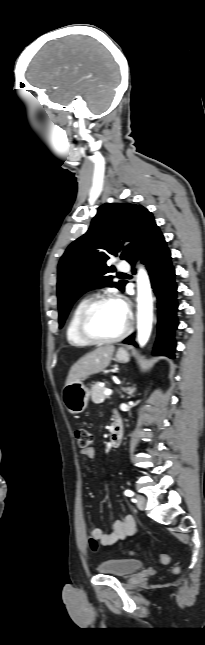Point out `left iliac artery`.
<instances>
[{
  "instance_id": "1",
  "label": "left iliac artery",
  "mask_w": 205,
  "mask_h": 645,
  "mask_svg": "<svg viewBox=\"0 0 205 645\" xmlns=\"http://www.w3.org/2000/svg\"><path fill=\"white\" fill-rule=\"evenodd\" d=\"M125 495H126V496H129V497H132V496H134V492H133V491H131V490H126V491H125Z\"/></svg>"
}]
</instances>
